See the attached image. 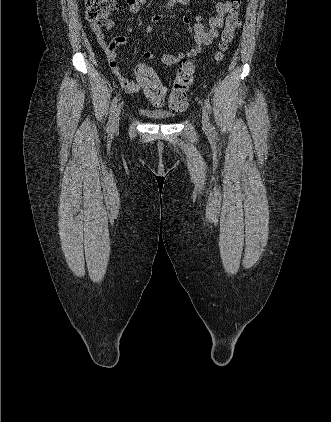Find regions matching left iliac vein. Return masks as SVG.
Listing matches in <instances>:
<instances>
[{"mask_svg": "<svg viewBox=\"0 0 331 422\" xmlns=\"http://www.w3.org/2000/svg\"><path fill=\"white\" fill-rule=\"evenodd\" d=\"M202 127H203V130L207 133L211 131L208 114L205 109L202 110Z\"/></svg>", "mask_w": 331, "mask_h": 422, "instance_id": "4c4485c4", "label": "left iliac vein"}]
</instances>
